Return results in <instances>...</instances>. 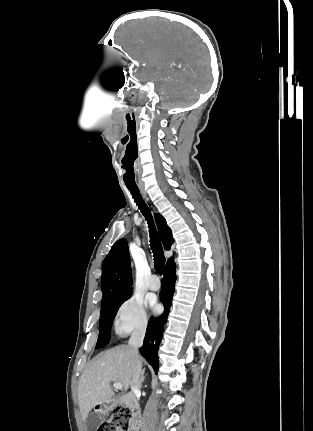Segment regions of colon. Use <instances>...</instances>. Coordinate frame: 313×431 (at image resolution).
Returning <instances> with one entry per match:
<instances>
[{
	"label": "colon",
	"mask_w": 313,
	"mask_h": 431,
	"mask_svg": "<svg viewBox=\"0 0 313 431\" xmlns=\"http://www.w3.org/2000/svg\"><path fill=\"white\" fill-rule=\"evenodd\" d=\"M132 413L125 405L116 406L97 431H132Z\"/></svg>",
	"instance_id": "colon-1"
}]
</instances>
